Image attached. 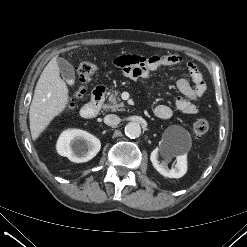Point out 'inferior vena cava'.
Masks as SVG:
<instances>
[{"instance_id": "1", "label": "inferior vena cava", "mask_w": 247, "mask_h": 247, "mask_svg": "<svg viewBox=\"0 0 247 247\" xmlns=\"http://www.w3.org/2000/svg\"><path fill=\"white\" fill-rule=\"evenodd\" d=\"M104 123L109 126H117L120 123V118L115 114H108L104 117Z\"/></svg>"}]
</instances>
